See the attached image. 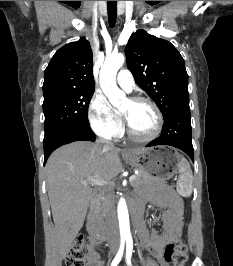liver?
<instances>
[{"instance_id": "6515ba94", "label": "liver", "mask_w": 233, "mask_h": 266, "mask_svg": "<svg viewBox=\"0 0 233 266\" xmlns=\"http://www.w3.org/2000/svg\"><path fill=\"white\" fill-rule=\"evenodd\" d=\"M145 149H135L141 153ZM122 150L102 143L76 141L54 151L46 164L47 190L55 225L60 260L81 230L93 190L87 181L91 177L110 181L116 177L122 163Z\"/></svg>"}]
</instances>
